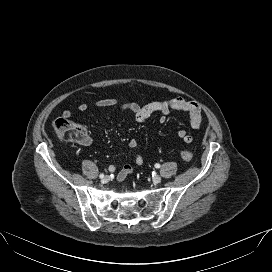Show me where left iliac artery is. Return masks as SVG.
I'll return each mask as SVG.
<instances>
[{
  "instance_id": "1",
  "label": "left iliac artery",
  "mask_w": 272,
  "mask_h": 272,
  "mask_svg": "<svg viewBox=\"0 0 272 272\" xmlns=\"http://www.w3.org/2000/svg\"><path fill=\"white\" fill-rule=\"evenodd\" d=\"M155 167H156V168H160V164L156 163V164H155Z\"/></svg>"
}]
</instances>
